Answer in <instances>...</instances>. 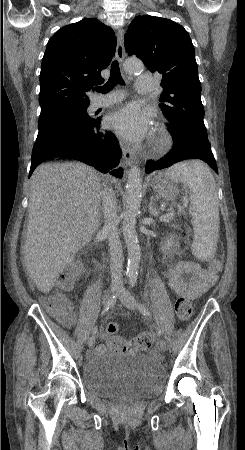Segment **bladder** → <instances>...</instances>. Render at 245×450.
<instances>
[{
    "mask_svg": "<svg viewBox=\"0 0 245 450\" xmlns=\"http://www.w3.org/2000/svg\"><path fill=\"white\" fill-rule=\"evenodd\" d=\"M81 377L87 391L98 397L127 392L138 397L157 396L163 387L162 366L143 354H105L83 364Z\"/></svg>",
    "mask_w": 245,
    "mask_h": 450,
    "instance_id": "obj_1",
    "label": "bladder"
}]
</instances>
